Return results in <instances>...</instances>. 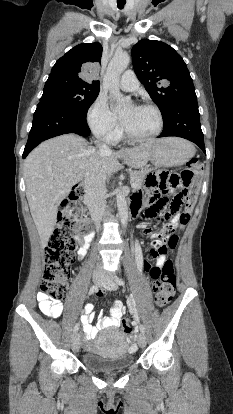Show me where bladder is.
Here are the masks:
<instances>
[{
  "label": "bladder",
  "mask_w": 233,
  "mask_h": 414,
  "mask_svg": "<svg viewBox=\"0 0 233 414\" xmlns=\"http://www.w3.org/2000/svg\"><path fill=\"white\" fill-rule=\"evenodd\" d=\"M81 360L93 371L109 372L132 366L134 356L129 352L127 336L112 328L97 335L92 349L84 353Z\"/></svg>",
  "instance_id": "1"
}]
</instances>
